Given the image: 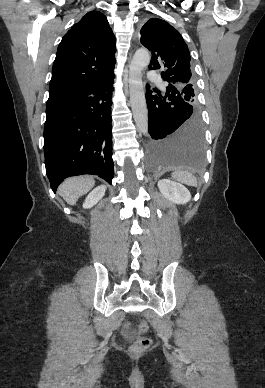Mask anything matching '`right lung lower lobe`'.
I'll use <instances>...</instances> for the list:
<instances>
[{"instance_id": "98d812e1", "label": "right lung lower lobe", "mask_w": 265, "mask_h": 388, "mask_svg": "<svg viewBox=\"0 0 265 388\" xmlns=\"http://www.w3.org/2000/svg\"><path fill=\"white\" fill-rule=\"evenodd\" d=\"M114 77L48 99L44 153L46 173L54 192L63 179L74 175H99L112 183Z\"/></svg>"}]
</instances>
